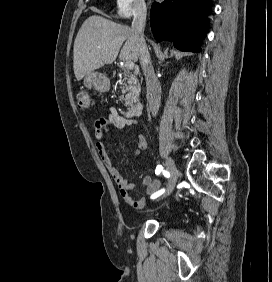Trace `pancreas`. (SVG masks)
Returning <instances> with one entry per match:
<instances>
[{"instance_id": "obj_1", "label": "pancreas", "mask_w": 272, "mask_h": 282, "mask_svg": "<svg viewBox=\"0 0 272 282\" xmlns=\"http://www.w3.org/2000/svg\"><path fill=\"white\" fill-rule=\"evenodd\" d=\"M124 80H127V82L123 83ZM124 80L120 83V85L123 89L128 91V93L125 97L122 96L121 99L124 100V105H132L138 97L140 85L137 78L132 74H128Z\"/></svg>"}]
</instances>
